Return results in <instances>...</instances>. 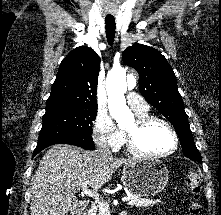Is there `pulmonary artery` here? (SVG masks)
Masks as SVG:
<instances>
[{
  "label": "pulmonary artery",
  "instance_id": "obj_1",
  "mask_svg": "<svg viewBox=\"0 0 221 215\" xmlns=\"http://www.w3.org/2000/svg\"><path fill=\"white\" fill-rule=\"evenodd\" d=\"M127 103L135 113H144L149 109L146 101L137 93L129 92L127 94Z\"/></svg>",
  "mask_w": 221,
  "mask_h": 215
}]
</instances>
